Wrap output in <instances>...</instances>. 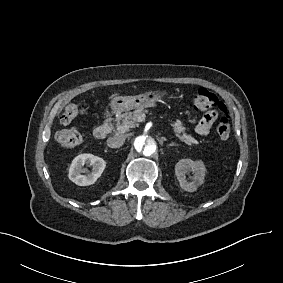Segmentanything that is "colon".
Listing matches in <instances>:
<instances>
[{"mask_svg": "<svg viewBox=\"0 0 283 283\" xmlns=\"http://www.w3.org/2000/svg\"><path fill=\"white\" fill-rule=\"evenodd\" d=\"M193 108L196 111H208L211 108H216L219 111L217 117L215 135L218 141H225L230 136V119L226 106L219 100L217 95L206 89L200 88L192 95ZM84 114L83 107L78 102L69 103L61 114V122L70 124L79 120ZM57 141L63 148H74L82 140L81 131L78 128H70L59 130L57 132Z\"/></svg>", "mask_w": 283, "mask_h": 283, "instance_id": "colon-1", "label": "colon"}]
</instances>
